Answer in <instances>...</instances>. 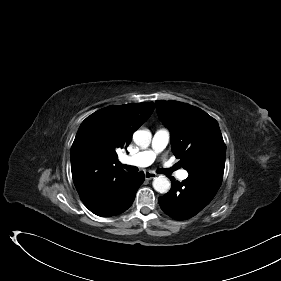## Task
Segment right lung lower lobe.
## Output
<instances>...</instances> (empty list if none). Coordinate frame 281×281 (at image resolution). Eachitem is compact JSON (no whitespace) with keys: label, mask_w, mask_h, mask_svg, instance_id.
I'll list each match as a JSON object with an SVG mask.
<instances>
[{"label":"right lung lower lobe","mask_w":281,"mask_h":281,"mask_svg":"<svg viewBox=\"0 0 281 281\" xmlns=\"http://www.w3.org/2000/svg\"><path fill=\"white\" fill-rule=\"evenodd\" d=\"M144 181V173H129L104 198L86 204L98 216L109 217L127 210L135 199L136 192Z\"/></svg>","instance_id":"98d812e1"}]
</instances>
